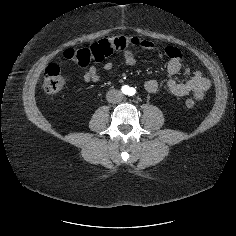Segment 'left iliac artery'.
<instances>
[{"label": "left iliac artery", "mask_w": 236, "mask_h": 236, "mask_svg": "<svg viewBox=\"0 0 236 236\" xmlns=\"http://www.w3.org/2000/svg\"><path fill=\"white\" fill-rule=\"evenodd\" d=\"M136 93V90L134 88H130L129 95L133 96Z\"/></svg>", "instance_id": "obj_1"}]
</instances>
